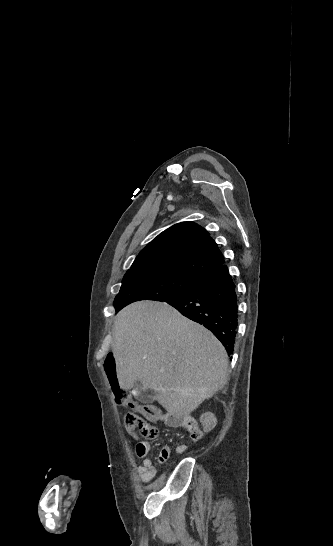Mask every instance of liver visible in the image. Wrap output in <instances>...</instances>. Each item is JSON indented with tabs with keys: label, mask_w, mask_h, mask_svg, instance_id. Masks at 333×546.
Returning a JSON list of instances; mask_svg holds the SVG:
<instances>
[{
	"label": "liver",
	"mask_w": 333,
	"mask_h": 546,
	"mask_svg": "<svg viewBox=\"0 0 333 546\" xmlns=\"http://www.w3.org/2000/svg\"><path fill=\"white\" fill-rule=\"evenodd\" d=\"M113 355L121 389L137 380L169 415L187 424L203 401L227 382L228 355L205 327L166 303L141 301L114 322Z\"/></svg>",
	"instance_id": "1"
}]
</instances>
